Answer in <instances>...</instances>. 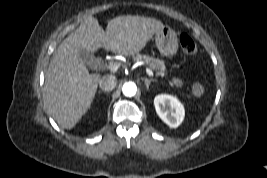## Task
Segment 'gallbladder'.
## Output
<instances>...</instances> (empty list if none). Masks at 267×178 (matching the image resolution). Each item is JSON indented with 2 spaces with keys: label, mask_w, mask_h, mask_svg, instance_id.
<instances>
[{
  "label": "gallbladder",
  "mask_w": 267,
  "mask_h": 178,
  "mask_svg": "<svg viewBox=\"0 0 267 178\" xmlns=\"http://www.w3.org/2000/svg\"><path fill=\"white\" fill-rule=\"evenodd\" d=\"M82 58L84 60V62L87 64V65H92V63L95 61V57L92 53H89V52H84L82 54Z\"/></svg>",
  "instance_id": "bac80fb5"
}]
</instances>
